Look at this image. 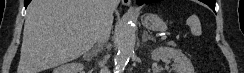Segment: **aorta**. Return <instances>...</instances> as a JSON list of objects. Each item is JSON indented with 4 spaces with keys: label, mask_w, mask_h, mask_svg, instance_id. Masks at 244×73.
<instances>
[{
    "label": "aorta",
    "mask_w": 244,
    "mask_h": 73,
    "mask_svg": "<svg viewBox=\"0 0 244 73\" xmlns=\"http://www.w3.org/2000/svg\"><path fill=\"white\" fill-rule=\"evenodd\" d=\"M136 41L135 28L131 21H125L118 52L115 58V73H122L134 52Z\"/></svg>",
    "instance_id": "aorta-1"
}]
</instances>
